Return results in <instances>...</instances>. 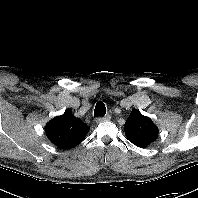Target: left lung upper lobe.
Masks as SVG:
<instances>
[{
    "mask_svg": "<svg viewBox=\"0 0 198 198\" xmlns=\"http://www.w3.org/2000/svg\"><path fill=\"white\" fill-rule=\"evenodd\" d=\"M124 130L129 141L141 148L147 147L158 137V129L153 121L138 110L131 112Z\"/></svg>",
    "mask_w": 198,
    "mask_h": 198,
    "instance_id": "left-lung-upper-lobe-1",
    "label": "left lung upper lobe"
}]
</instances>
